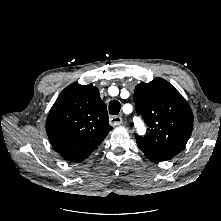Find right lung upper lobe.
<instances>
[{"mask_svg":"<svg viewBox=\"0 0 221 221\" xmlns=\"http://www.w3.org/2000/svg\"><path fill=\"white\" fill-rule=\"evenodd\" d=\"M111 130L98 88L77 82L61 92L46 121L54 150L71 162L86 159Z\"/></svg>","mask_w":221,"mask_h":221,"instance_id":"obj_1","label":"right lung upper lobe"}]
</instances>
